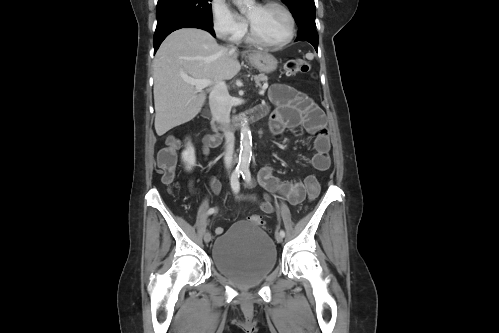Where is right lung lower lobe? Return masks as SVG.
Returning a JSON list of instances; mask_svg holds the SVG:
<instances>
[{
	"instance_id": "right-lung-lower-lobe-1",
	"label": "right lung lower lobe",
	"mask_w": 499,
	"mask_h": 333,
	"mask_svg": "<svg viewBox=\"0 0 499 333\" xmlns=\"http://www.w3.org/2000/svg\"><path fill=\"white\" fill-rule=\"evenodd\" d=\"M180 28H199L208 31L212 36L215 37V33L213 30V24L197 21V20H182V21H174L168 24H165L161 27L156 28L154 34V52L157 51L162 41L173 31Z\"/></svg>"
}]
</instances>
